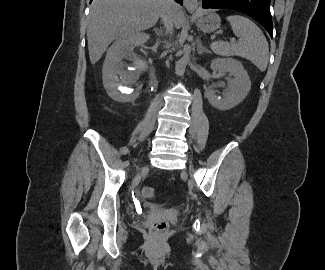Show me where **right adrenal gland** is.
I'll list each match as a JSON object with an SVG mask.
<instances>
[{"label":"right adrenal gland","instance_id":"obj_1","mask_svg":"<svg viewBox=\"0 0 325 270\" xmlns=\"http://www.w3.org/2000/svg\"><path fill=\"white\" fill-rule=\"evenodd\" d=\"M154 31L157 34V36L163 35V31L161 29H158V28L154 27Z\"/></svg>","mask_w":325,"mask_h":270}]
</instances>
